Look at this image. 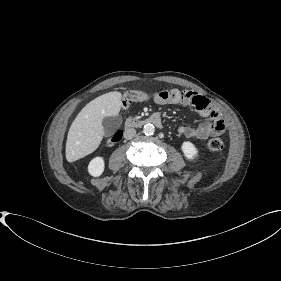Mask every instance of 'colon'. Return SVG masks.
Here are the masks:
<instances>
[{
    "instance_id": "5ec220e1",
    "label": "colon",
    "mask_w": 281,
    "mask_h": 281,
    "mask_svg": "<svg viewBox=\"0 0 281 281\" xmlns=\"http://www.w3.org/2000/svg\"><path fill=\"white\" fill-rule=\"evenodd\" d=\"M154 97L153 94L146 91H128L123 95L122 105L128 107L135 102L146 101ZM122 138V132H116L111 138L105 142L106 146H112ZM207 147L212 151H222L226 148V143L220 138H211L207 142Z\"/></svg>"
}]
</instances>
